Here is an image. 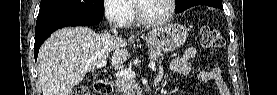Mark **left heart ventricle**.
Returning <instances> with one entry per match:
<instances>
[{"instance_id":"obj_1","label":"left heart ventricle","mask_w":277,"mask_h":95,"mask_svg":"<svg viewBox=\"0 0 277 95\" xmlns=\"http://www.w3.org/2000/svg\"><path fill=\"white\" fill-rule=\"evenodd\" d=\"M167 0H143L140 2V13L148 19H160L168 14Z\"/></svg>"}]
</instances>
